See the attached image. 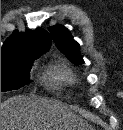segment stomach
I'll list each match as a JSON object with an SVG mask.
<instances>
[{
  "mask_svg": "<svg viewBox=\"0 0 123 130\" xmlns=\"http://www.w3.org/2000/svg\"><path fill=\"white\" fill-rule=\"evenodd\" d=\"M73 130H88L87 128H76V129H73Z\"/></svg>",
  "mask_w": 123,
  "mask_h": 130,
  "instance_id": "obj_1",
  "label": "stomach"
}]
</instances>
